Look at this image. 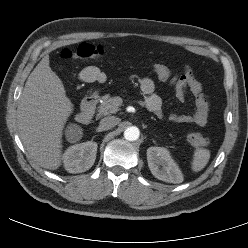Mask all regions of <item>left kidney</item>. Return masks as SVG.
<instances>
[{
    "instance_id": "left-kidney-1",
    "label": "left kidney",
    "mask_w": 248,
    "mask_h": 248,
    "mask_svg": "<svg viewBox=\"0 0 248 248\" xmlns=\"http://www.w3.org/2000/svg\"><path fill=\"white\" fill-rule=\"evenodd\" d=\"M147 161L151 173L157 179L174 184L183 181L182 172L166 148L149 147L147 149Z\"/></svg>"
}]
</instances>
